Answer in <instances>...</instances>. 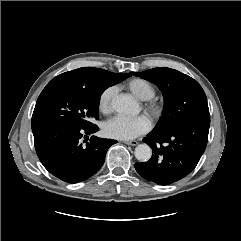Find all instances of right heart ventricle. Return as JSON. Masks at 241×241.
<instances>
[{
	"label": "right heart ventricle",
	"mask_w": 241,
	"mask_h": 241,
	"mask_svg": "<svg viewBox=\"0 0 241 241\" xmlns=\"http://www.w3.org/2000/svg\"><path fill=\"white\" fill-rule=\"evenodd\" d=\"M127 89L138 99L147 101L155 95L154 86L146 79L134 78L126 84Z\"/></svg>",
	"instance_id": "e07e8e85"
}]
</instances>
